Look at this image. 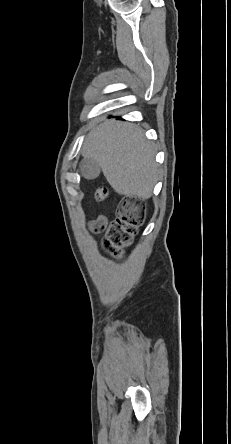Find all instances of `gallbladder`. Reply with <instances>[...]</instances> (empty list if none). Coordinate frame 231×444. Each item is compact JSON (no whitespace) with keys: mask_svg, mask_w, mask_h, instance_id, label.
<instances>
[{"mask_svg":"<svg viewBox=\"0 0 231 444\" xmlns=\"http://www.w3.org/2000/svg\"><path fill=\"white\" fill-rule=\"evenodd\" d=\"M80 172L87 179H95L100 174V166L93 158H84L80 163Z\"/></svg>","mask_w":231,"mask_h":444,"instance_id":"1","label":"gallbladder"}]
</instances>
